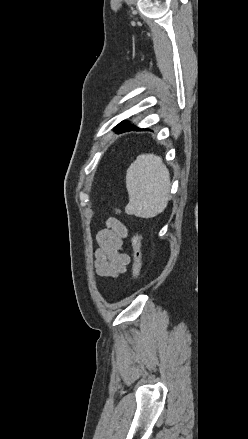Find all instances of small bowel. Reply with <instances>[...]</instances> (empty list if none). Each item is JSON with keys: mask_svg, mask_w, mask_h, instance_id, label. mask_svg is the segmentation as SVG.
I'll list each match as a JSON object with an SVG mask.
<instances>
[{"mask_svg": "<svg viewBox=\"0 0 248 439\" xmlns=\"http://www.w3.org/2000/svg\"><path fill=\"white\" fill-rule=\"evenodd\" d=\"M113 214L96 237L98 246L94 251V268L100 277L117 278L127 271L130 263V256L123 250L128 229L118 218L120 210L113 209Z\"/></svg>", "mask_w": 248, "mask_h": 439, "instance_id": "c3829d8e", "label": "small bowel"}]
</instances>
